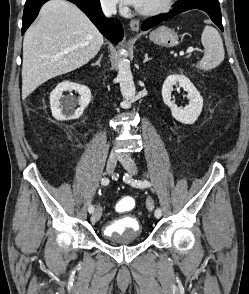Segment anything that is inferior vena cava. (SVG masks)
<instances>
[{
	"mask_svg": "<svg viewBox=\"0 0 249 294\" xmlns=\"http://www.w3.org/2000/svg\"><path fill=\"white\" fill-rule=\"evenodd\" d=\"M116 0H101V6L103 13L107 17H111L116 14Z\"/></svg>",
	"mask_w": 249,
	"mask_h": 294,
	"instance_id": "1",
	"label": "inferior vena cava"
}]
</instances>
